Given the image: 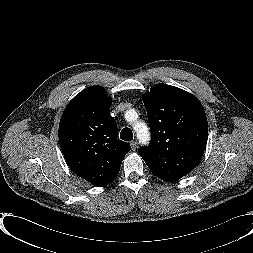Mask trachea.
Returning a JSON list of instances; mask_svg holds the SVG:
<instances>
[{"label": "trachea", "instance_id": "trachea-1", "mask_svg": "<svg viewBox=\"0 0 253 253\" xmlns=\"http://www.w3.org/2000/svg\"><path fill=\"white\" fill-rule=\"evenodd\" d=\"M120 138L124 141H131L133 140V133L130 128H123L120 133Z\"/></svg>", "mask_w": 253, "mask_h": 253}]
</instances>
